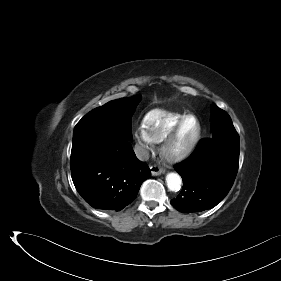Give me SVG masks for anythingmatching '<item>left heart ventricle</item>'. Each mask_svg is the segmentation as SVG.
<instances>
[{"label": "left heart ventricle", "instance_id": "obj_1", "mask_svg": "<svg viewBox=\"0 0 281 281\" xmlns=\"http://www.w3.org/2000/svg\"><path fill=\"white\" fill-rule=\"evenodd\" d=\"M197 131V122L194 118H189L184 123L180 130V133L174 144V148H178L186 143H188L195 135Z\"/></svg>", "mask_w": 281, "mask_h": 281}]
</instances>
